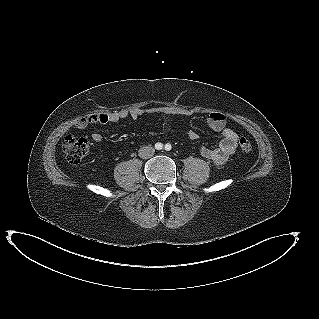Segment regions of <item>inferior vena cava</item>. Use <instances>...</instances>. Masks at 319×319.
<instances>
[{
  "label": "inferior vena cava",
  "instance_id": "602c4592",
  "mask_svg": "<svg viewBox=\"0 0 319 319\" xmlns=\"http://www.w3.org/2000/svg\"><path fill=\"white\" fill-rule=\"evenodd\" d=\"M155 153V149L152 146H143L139 149V157L142 159H148Z\"/></svg>",
  "mask_w": 319,
  "mask_h": 319
}]
</instances>
